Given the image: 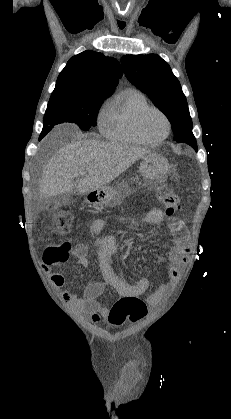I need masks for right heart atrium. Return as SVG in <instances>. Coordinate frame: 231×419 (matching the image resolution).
Wrapping results in <instances>:
<instances>
[{
	"mask_svg": "<svg viewBox=\"0 0 231 419\" xmlns=\"http://www.w3.org/2000/svg\"><path fill=\"white\" fill-rule=\"evenodd\" d=\"M110 119V106L109 101H105L101 106L98 116H97V124L102 133L105 134L106 128L108 126Z\"/></svg>",
	"mask_w": 231,
	"mask_h": 419,
	"instance_id": "1",
	"label": "right heart atrium"
}]
</instances>
